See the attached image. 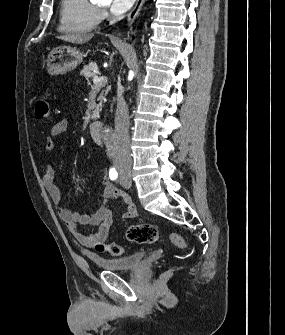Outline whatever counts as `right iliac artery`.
<instances>
[{
  "label": "right iliac artery",
  "mask_w": 285,
  "mask_h": 335,
  "mask_svg": "<svg viewBox=\"0 0 285 335\" xmlns=\"http://www.w3.org/2000/svg\"><path fill=\"white\" fill-rule=\"evenodd\" d=\"M109 177L111 180H115L117 179L118 177V173L117 171L115 170V168H111L110 171H109Z\"/></svg>",
  "instance_id": "82829eb1"
}]
</instances>
